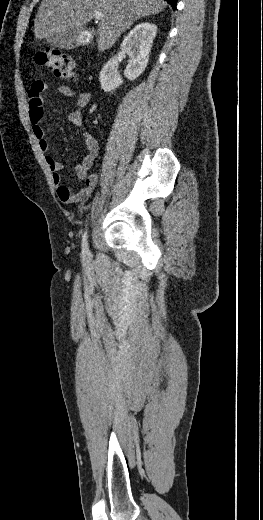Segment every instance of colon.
Here are the masks:
<instances>
[{
    "instance_id": "colon-1",
    "label": "colon",
    "mask_w": 263,
    "mask_h": 520,
    "mask_svg": "<svg viewBox=\"0 0 263 520\" xmlns=\"http://www.w3.org/2000/svg\"><path fill=\"white\" fill-rule=\"evenodd\" d=\"M34 61L37 65L54 73L55 76L66 80H75L76 67L73 59L56 49L46 48L34 54Z\"/></svg>"
}]
</instances>
